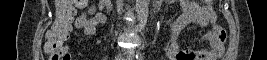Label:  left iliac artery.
I'll return each instance as SVG.
<instances>
[{
	"label": "left iliac artery",
	"instance_id": "left-iliac-artery-1",
	"mask_svg": "<svg viewBox=\"0 0 267 60\" xmlns=\"http://www.w3.org/2000/svg\"><path fill=\"white\" fill-rule=\"evenodd\" d=\"M136 58H137V60H142L143 59L142 55H138V56H136Z\"/></svg>",
	"mask_w": 267,
	"mask_h": 60
}]
</instances>
